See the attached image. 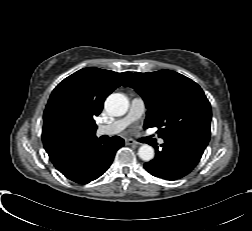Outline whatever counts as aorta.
Here are the masks:
<instances>
[{
    "instance_id": "762f6f07",
    "label": "aorta",
    "mask_w": 252,
    "mask_h": 231,
    "mask_svg": "<svg viewBox=\"0 0 252 231\" xmlns=\"http://www.w3.org/2000/svg\"><path fill=\"white\" fill-rule=\"evenodd\" d=\"M128 99L120 93H112L105 101V110L111 116H122L127 112ZM138 156L141 160L149 162L154 158V149L148 144L142 145L138 149Z\"/></svg>"
}]
</instances>
